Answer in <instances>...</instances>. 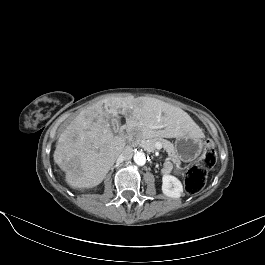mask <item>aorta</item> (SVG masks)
I'll return each instance as SVG.
<instances>
[{"label": "aorta", "instance_id": "aorta-1", "mask_svg": "<svg viewBox=\"0 0 265 265\" xmlns=\"http://www.w3.org/2000/svg\"><path fill=\"white\" fill-rule=\"evenodd\" d=\"M134 162L139 165V166H143L146 163V156L143 152L141 151H137L134 154Z\"/></svg>", "mask_w": 265, "mask_h": 265}]
</instances>
